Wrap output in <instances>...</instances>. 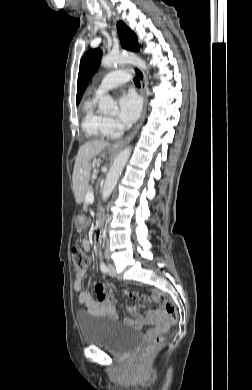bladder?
<instances>
[{
  "instance_id": "1",
  "label": "bladder",
  "mask_w": 252,
  "mask_h": 390,
  "mask_svg": "<svg viewBox=\"0 0 252 390\" xmlns=\"http://www.w3.org/2000/svg\"><path fill=\"white\" fill-rule=\"evenodd\" d=\"M83 341L116 354H124L143 341V335L117 321L95 315L77 316Z\"/></svg>"
}]
</instances>
